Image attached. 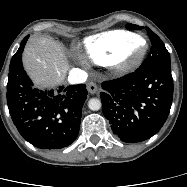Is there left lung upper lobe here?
I'll list each match as a JSON object with an SVG mask.
<instances>
[{
    "label": "left lung upper lobe",
    "instance_id": "left-lung-upper-lobe-1",
    "mask_svg": "<svg viewBox=\"0 0 187 187\" xmlns=\"http://www.w3.org/2000/svg\"><path fill=\"white\" fill-rule=\"evenodd\" d=\"M126 27L132 30H139L143 28L134 24H127ZM147 33L151 39L152 47L146 60L140 67L170 66V54L162 40L148 28Z\"/></svg>",
    "mask_w": 187,
    "mask_h": 187
}]
</instances>
